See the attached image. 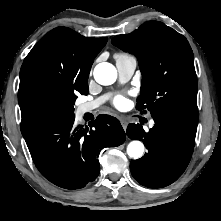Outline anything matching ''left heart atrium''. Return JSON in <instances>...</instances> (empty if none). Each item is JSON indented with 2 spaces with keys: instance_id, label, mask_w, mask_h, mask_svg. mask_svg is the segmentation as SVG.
<instances>
[{
  "instance_id": "left-heart-atrium-1",
  "label": "left heart atrium",
  "mask_w": 221,
  "mask_h": 221,
  "mask_svg": "<svg viewBox=\"0 0 221 221\" xmlns=\"http://www.w3.org/2000/svg\"><path fill=\"white\" fill-rule=\"evenodd\" d=\"M125 103H126V99H125V97H123V96H117L116 98H115V100H114V104H115V106L116 107H123L124 105H125Z\"/></svg>"
}]
</instances>
